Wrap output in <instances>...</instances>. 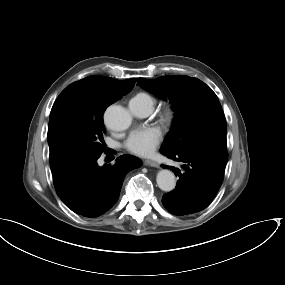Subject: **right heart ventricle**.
<instances>
[{
    "label": "right heart ventricle",
    "mask_w": 285,
    "mask_h": 285,
    "mask_svg": "<svg viewBox=\"0 0 285 285\" xmlns=\"http://www.w3.org/2000/svg\"><path fill=\"white\" fill-rule=\"evenodd\" d=\"M136 96L146 97V98H148V99L151 101V103L153 104L152 98H151L148 94H146V93H139V94L136 95Z\"/></svg>",
    "instance_id": "e07e8e85"
}]
</instances>
